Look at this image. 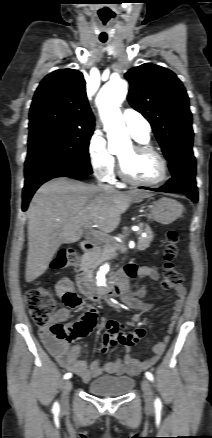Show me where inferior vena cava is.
<instances>
[{"label": "inferior vena cava", "mask_w": 212, "mask_h": 438, "mask_svg": "<svg viewBox=\"0 0 212 438\" xmlns=\"http://www.w3.org/2000/svg\"><path fill=\"white\" fill-rule=\"evenodd\" d=\"M98 185H99V187L102 188V189H106V190L113 189V187H111V186H109V185H104V184H102V183H100V182H99Z\"/></svg>", "instance_id": "1"}]
</instances>
